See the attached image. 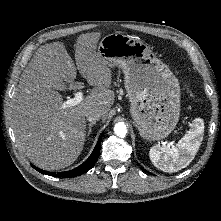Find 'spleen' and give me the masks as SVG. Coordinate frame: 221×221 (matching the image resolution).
<instances>
[{
  "label": "spleen",
  "instance_id": "spleen-1",
  "mask_svg": "<svg viewBox=\"0 0 221 221\" xmlns=\"http://www.w3.org/2000/svg\"><path fill=\"white\" fill-rule=\"evenodd\" d=\"M204 121L195 118L193 128L175 146H152L149 157L155 167L164 172H177L187 167L194 159L203 140Z\"/></svg>",
  "mask_w": 221,
  "mask_h": 221
}]
</instances>
